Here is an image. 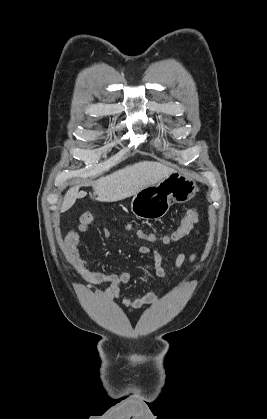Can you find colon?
Here are the masks:
<instances>
[{"label":"colon","instance_id":"5ec220e1","mask_svg":"<svg viewBox=\"0 0 267 419\" xmlns=\"http://www.w3.org/2000/svg\"><path fill=\"white\" fill-rule=\"evenodd\" d=\"M199 219V213L197 210H189L186 215L180 220L178 227L173 230L170 234L158 235L154 232H150L144 229H139L132 224H126L125 229L133 234V236L139 240L149 244H162L169 245L182 240L187 236L193 229L194 225Z\"/></svg>","mask_w":267,"mask_h":419}]
</instances>
